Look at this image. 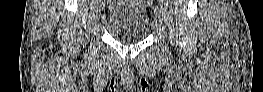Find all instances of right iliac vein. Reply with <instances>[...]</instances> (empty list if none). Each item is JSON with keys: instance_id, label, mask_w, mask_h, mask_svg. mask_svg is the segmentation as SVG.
Returning a JSON list of instances; mask_svg holds the SVG:
<instances>
[{"instance_id": "right-iliac-vein-1", "label": "right iliac vein", "mask_w": 263, "mask_h": 92, "mask_svg": "<svg viewBox=\"0 0 263 92\" xmlns=\"http://www.w3.org/2000/svg\"><path fill=\"white\" fill-rule=\"evenodd\" d=\"M107 5V0H100V11L102 10V6H106Z\"/></svg>"}]
</instances>
